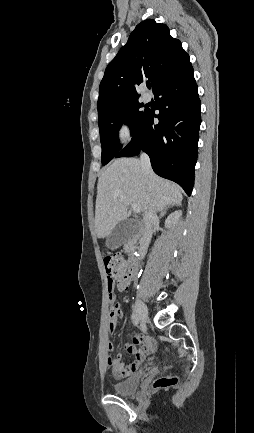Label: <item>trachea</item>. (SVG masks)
<instances>
[{
	"instance_id": "1",
	"label": "trachea",
	"mask_w": 254,
	"mask_h": 433,
	"mask_svg": "<svg viewBox=\"0 0 254 433\" xmlns=\"http://www.w3.org/2000/svg\"><path fill=\"white\" fill-rule=\"evenodd\" d=\"M147 88H148V89H151V85H147Z\"/></svg>"
}]
</instances>
